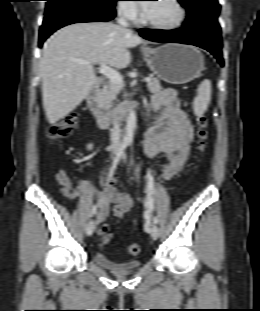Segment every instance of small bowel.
Here are the masks:
<instances>
[{
  "label": "small bowel",
  "instance_id": "small-bowel-1",
  "mask_svg": "<svg viewBox=\"0 0 260 311\" xmlns=\"http://www.w3.org/2000/svg\"><path fill=\"white\" fill-rule=\"evenodd\" d=\"M149 109L161 110V114L155 124L147 126L144 130V156L147 158L162 156L164 158L162 177L169 180L189 159L190 146L194 139L193 127L180 106L176 92L172 89L154 95ZM55 180L60 184L62 194L69 199L90 190L85 181H81L77 188H73L71 179L64 169L56 172ZM116 185L117 181L108 178L107 188L97 192L98 223L103 222L111 211L120 219L131 210L133 198L119 191Z\"/></svg>",
  "mask_w": 260,
  "mask_h": 311
}]
</instances>
